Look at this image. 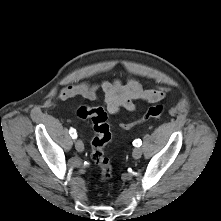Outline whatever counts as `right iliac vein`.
Returning <instances> with one entry per match:
<instances>
[{
    "instance_id": "right-iliac-vein-1",
    "label": "right iliac vein",
    "mask_w": 221,
    "mask_h": 221,
    "mask_svg": "<svg viewBox=\"0 0 221 221\" xmlns=\"http://www.w3.org/2000/svg\"><path fill=\"white\" fill-rule=\"evenodd\" d=\"M75 148L78 152H83L84 151V144L81 140H76L75 141Z\"/></svg>"
}]
</instances>
